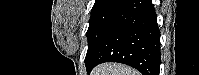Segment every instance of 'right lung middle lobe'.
Here are the masks:
<instances>
[{"mask_svg":"<svg viewBox=\"0 0 199 75\" xmlns=\"http://www.w3.org/2000/svg\"><path fill=\"white\" fill-rule=\"evenodd\" d=\"M128 0H111L97 6H93L87 30L88 51L85 63L90 60L91 54L101 40L105 30L114 17L122 10Z\"/></svg>","mask_w":199,"mask_h":75,"instance_id":"1","label":"right lung middle lobe"}]
</instances>
